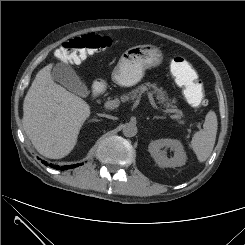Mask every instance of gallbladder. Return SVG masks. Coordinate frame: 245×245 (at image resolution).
Returning a JSON list of instances; mask_svg holds the SVG:
<instances>
[{
  "instance_id": "obj_1",
  "label": "gallbladder",
  "mask_w": 245,
  "mask_h": 245,
  "mask_svg": "<svg viewBox=\"0 0 245 245\" xmlns=\"http://www.w3.org/2000/svg\"><path fill=\"white\" fill-rule=\"evenodd\" d=\"M52 77L56 82L79 96L84 97L88 93L86 85L69 64H56L52 70Z\"/></svg>"
}]
</instances>
